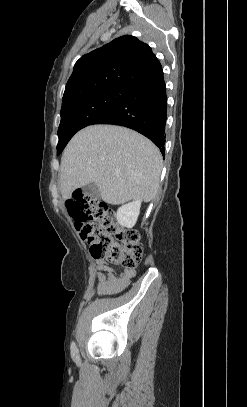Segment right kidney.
Masks as SVG:
<instances>
[{"label":"right kidney","instance_id":"ca27d5eb","mask_svg":"<svg viewBox=\"0 0 247 407\" xmlns=\"http://www.w3.org/2000/svg\"><path fill=\"white\" fill-rule=\"evenodd\" d=\"M141 200H135L131 203L121 206L116 213V218L121 226L132 228L140 214Z\"/></svg>","mask_w":247,"mask_h":407}]
</instances>
